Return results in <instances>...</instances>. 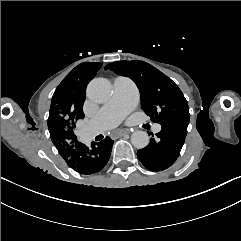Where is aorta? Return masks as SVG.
Listing matches in <instances>:
<instances>
[{
	"label": "aorta",
	"mask_w": 241,
	"mask_h": 241,
	"mask_svg": "<svg viewBox=\"0 0 241 241\" xmlns=\"http://www.w3.org/2000/svg\"><path fill=\"white\" fill-rule=\"evenodd\" d=\"M111 83L105 78L93 79L87 87V96L94 102L104 103L111 97ZM131 143L137 149L145 148L149 143L146 131H135L131 135Z\"/></svg>",
	"instance_id": "762f6f07"
}]
</instances>
